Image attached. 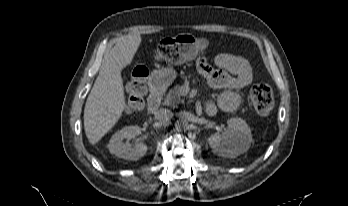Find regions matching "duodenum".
<instances>
[{
  "instance_id": "obj_1",
  "label": "duodenum",
  "mask_w": 348,
  "mask_h": 206,
  "mask_svg": "<svg viewBox=\"0 0 348 206\" xmlns=\"http://www.w3.org/2000/svg\"><path fill=\"white\" fill-rule=\"evenodd\" d=\"M164 93V88L163 86L157 82L155 79H152L150 82V96L148 98V105L147 109L150 113H155L162 101V96ZM208 116L214 115V113H205Z\"/></svg>"
}]
</instances>
